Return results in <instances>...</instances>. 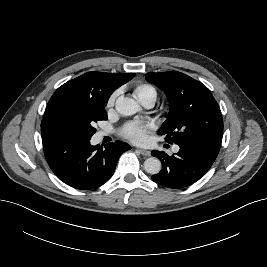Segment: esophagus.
Wrapping results in <instances>:
<instances>
[{
    "label": "esophagus",
    "instance_id": "34e87169",
    "mask_svg": "<svg viewBox=\"0 0 267 267\" xmlns=\"http://www.w3.org/2000/svg\"><path fill=\"white\" fill-rule=\"evenodd\" d=\"M138 151L140 152V154H142L143 156H150V151L145 150V149H138Z\"/></svg>",
    "mask_w": 267,
    "mask_h": 267
}]
</instances>
